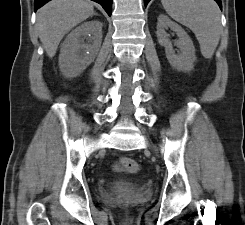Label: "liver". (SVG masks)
<instances>
[{
    "mask_svg": "<svg viewBox=\"0 0 245 225\" xmlns=\"http://www.w3.org/2000/svg\"><path fill=\"white\" fill-rule=\"evenodd\" d=\"M93 15V4L87 0H52L41 7L36 26L48 57L55 55L65 34Z\"/></svg>",
    "mask_w": 245,
    "mask_h": 225,
    "instance_id": "obj_1",
    "label": "liver"
}]
</instances>
